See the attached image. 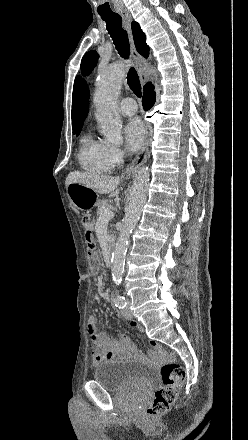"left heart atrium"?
I'll list each match as a JSON object with an SVG mask.
<instances>
[{"mask_svg": "<svg viewBox=\"0 0 248 440\" xmlns=\"http://www.w3.org/2000/svg\"><path fill=\"white\" fill-rule=\"evenodd\" d=\"M146 131L139 118L130 119L124 128V137L129 151L138 150L145 139Z\"/></svg>", "mask_w": 248, "mask_h": 440, "instance_id": "39dd6f15", "label": "left heart atrium"}]
</instances>
